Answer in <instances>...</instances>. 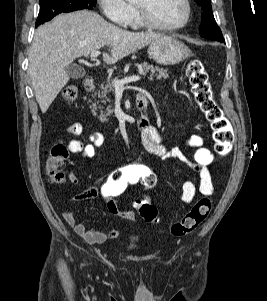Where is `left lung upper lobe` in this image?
I'll return each mask as SVG.
<instances>
[{"instance_id":"5c2ea615","label":"left lung upper lobe","mask_w":267,"mask_h":301,"mask_svg":"<svg viewBox=\"0 0 267 301\" xmlns=\"http://www.w3.org/2000/svg\"><path fill=\"white\" fill-rule=\"evenodd\" d=\"M195 2L200 5L203 10L201 14L202 24L199 27L200 35L206 39L223 42L222 32L214 19L211 0H195Z\"/></svg>"}]
</instances>
